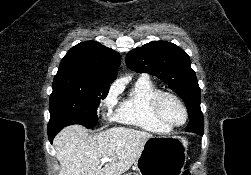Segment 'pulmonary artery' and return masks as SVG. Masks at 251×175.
Listing matches in <instances>:
<instances>
[{
  "mask_svg": "<svg viewBox=\"0 0 251 175\" xmlns=\"http://www.w3.org/2000/svg\"><path fill=\"white\" fill-rule=\"evenodd\" d=\"M140 79H145V80H147V79H148V76L142 75Z\"/></svg>",
  "mask_w": 251,
  "mask_h": 175,
  "instance_id": "obj_1",
  "label": "pulmonary artery"
}]
</instances>
